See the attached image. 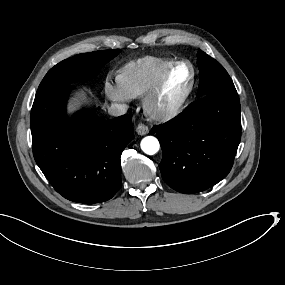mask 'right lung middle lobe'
<instances>
[{
    "label": "right lung middle lobe",
    "instance_id": "1",
    "mask_svg": "<svg viewBox=\"0 0 285 285\" xmlns=\"http://www.w3.org/2000/svg\"><path fill=\"white\" fill-rule=\"evenodd\" d=\"M120 50H102L78 54L52 67L43 78L36 92L41 96L61 85L96 74L101 67L119 54Z\"/></svg>",
    "mask_w": 285,
    "mask_h": 285
}]
</instances>
